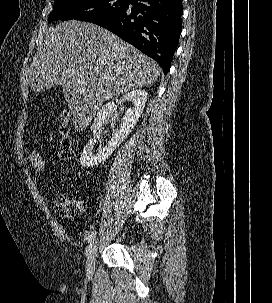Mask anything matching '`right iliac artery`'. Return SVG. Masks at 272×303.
<instances>
[{"label": "right iliac artery", "mask_w": 272, "mask_h": 303, "mask_svg": "<svg viewBox=\"0 0 272 303\" xmlns=\"http://www.w3.org/2000/svg\"><path fill=\"white\" fill-rule=\"evenodd\" d=\"M95 235H96V231H92L87 237V242L90 243L92 239L95 237Z\"/></svg>", "instance_id": "82829eb1"}]
</instances>
